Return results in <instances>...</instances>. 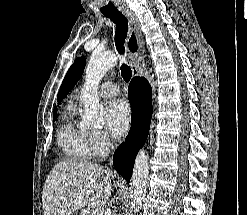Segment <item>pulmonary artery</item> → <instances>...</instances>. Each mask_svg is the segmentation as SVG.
<instances>
[{
    "instance_id": "1",
    "label": "pulmonary artery",
    "mask_w": 247,
    "mask_h": 215,
    "mask_svg": "<svg viewBox=\"0 0 247 215\" xmlns=\"http://www.w3.org/2000/svg\"><path fill=\"white\" fill-rule=\"evenodd\" d=\"M99 94L106 98H112L119 94V87L113 82H104L99 87Z\"/></svg>"
}]
</instances>
